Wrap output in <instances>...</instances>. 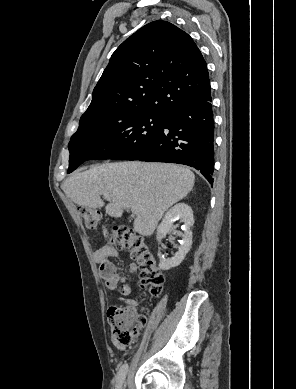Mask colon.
I'll list each match as a JSON object with an SVG mask.
<instances>
[{
	"mask_svg": "<svg viewBox=\"0 0 296 389\" xmlns=\"http://www.w3.org/2000/svg\"><path fill=\"white\" fill-rule=\"evenodd\" d=\"M79 214L89 229L97 228L101 221V213L96 208L79 207ZM106 236L113 248L128 250L132 258L137 261L140 268V286L153 295L160 294L164 275L145 238L125 226L107 230ZM107 316L111 326L112 343L121 350L130 347L137 340L140 328L146 322L145 316L138 312L133 303L123 307H111L108 309Z\"/></svg>",
	"mask_w": 296,
	"mask_h": 389,
	"instance_id": "5ec220e1",
	"label": "colon"
}]
</instances>
